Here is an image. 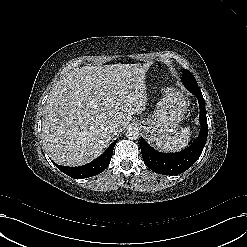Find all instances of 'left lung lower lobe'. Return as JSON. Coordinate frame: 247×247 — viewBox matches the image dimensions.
<instances>
[{"label": "left lung lower lobe", "mask_w": 247, "mask_h": 247, "mask_svg": "<svg viewBox=\"0 0 247 247\" xmlns=\"http://www.w3.org/2000/svg\"><path fill=\"white\" fill-rule=\"evenodd\" d=\"M199 102L201 124L200 134L192 145L178 153L163 154L141 138V153L145 165L152 171L163 175H177L189 169L200 157L208 136V125L205 110V101L198 85H185Z\"/></svg>", "instance_id": "0a47b994"}]
</instances>
